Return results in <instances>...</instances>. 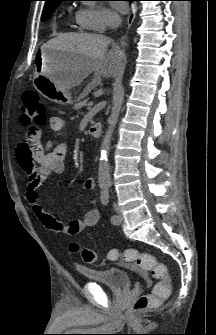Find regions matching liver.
<instances>
[{"label":"liver","mask_w":216,"mask_h":335,"mask_svg":"<svg viewBox=\"0 0 216 335\" xmlns=\"http://www.w3.org/2000/svg\"><path fill=\"white\" fill-rule=\"evenodd\" d=\"M110 39L99 34L66 33L45 43L41 49L59 50L73 55L70 65L52 79L64 90L78 86L91 72L94 82L114 77L121 68L124 53L119 47L107 50Z\"/></svg>","instance_id":"obj_1"}]
</instances>
